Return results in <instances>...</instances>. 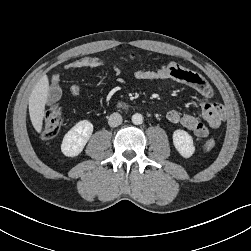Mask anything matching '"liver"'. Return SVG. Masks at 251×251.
I'll use <instances>...</instances> for the list:
<instances>
[{
    "label": "liver",
    "mask_w": 251,
    "mask_h": 251,
    "mask_svg": "<svg viewBox=\"0 0 251 251\" xmlns=\"http://www.w3.org/2000/svg\"><path fill=\"white\" fill-rule=\"evenodd\" d=\"M48 92L49 80L47 75H43L35 85L29 97V115L34 129L38 133L42 131Z\"/></svg>",
    "instance_id": "1"
}]
</instances>
